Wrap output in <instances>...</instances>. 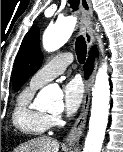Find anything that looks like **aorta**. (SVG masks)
<instances>
[{"label": "aorta", "mask_w": 123, "mask_h": 152, "mask_svg": "<svg viewBox=\"0 0 123 152\" xmlns=\"http://www.w3.org/2000/svg\"><path fill=\"white\" fill-rule=\"evenodd\" d=\"M76 26L73 16L58 19L43 34V48L53 52L62 47L72 35ZM110 85L107 65L104 63L98 70L92 91L91 117L89 130L83 152H101L110 108ZM36 105L39 109L54 111L63 106L62 94L59 89L51 86L43 88L37 96Z\"/></svg>", "instance_id": "762f6f07"}]
</instances>
